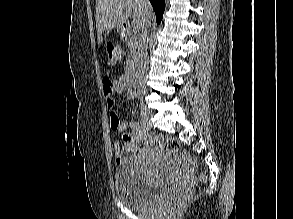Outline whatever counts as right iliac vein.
<instances>
[{
  "label": "right iliac vein",
  "instance_id": "right-iliac-vein-1",
  "mask_svg": "<svg viewBox=\"0 0 293 219\" xmlns=\"http://www.w3.org/2000/svg\"><path fill=\"white\" fill-rule=\"evenodd\" d=\"M141 116L146 122L149 121L151 116L150 110L143 104L141 105Z\"/></svg>",
  "mask_w": 293,
  "mask_h": 219
}]
</instances>
